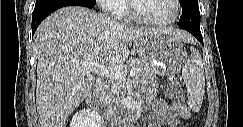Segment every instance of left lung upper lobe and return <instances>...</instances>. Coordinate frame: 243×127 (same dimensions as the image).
<instances>
[{"instance_id":"5c2ea615","label":"left lung upper lobe","mask_w":243,"mask_h":127,"mask_svg":"<svg viewBox=\"0 0 243 127\" xmlns=\"http://www.w3.org/2000/svg\"><path fill=\"white\" fill-rule=\"evenodd\" d=\"M181 6L183 8L189 7V6H197L198 0H180Z\"/></svg>"}]
</instances>
